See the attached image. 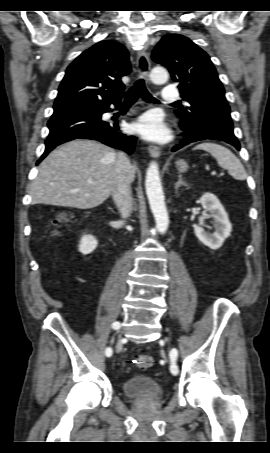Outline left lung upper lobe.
Segmentation results:
<instances>
[{
    "label": "left lung upper lobe",
    "instance_id": "5c2ea615",
    "mask_svg": "<svg viewBox=\"0 0 270 453\" xmlns=\"http://www.w3.org/2000/svg\"><path fill=\"white\" fill-rule=\"evenodd\" d=\"M152 59L168 68L179 84L181 97L189 103L175 111L181 123L200 122L234 136L224 88L210 57L201 48L183 35L169 34L155 47Z\"/></svg>",
    "mask_w": 270,
    "mask_h": 453
}]
</instances>
